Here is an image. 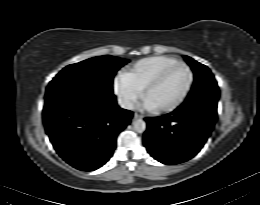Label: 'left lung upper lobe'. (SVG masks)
I'll return each instance as SVG.
<instances>
[{
    "label": "left lung upper lobe",
    "instance_id": "1",
    "mask_svg": "<svg viewBox=\"0 0 260 205\" xmlns=\"http://www.w3.org/2000/svg\"><path fill=\"white\" fill-rule=\"evenodd\" d=\"M194 72V84L185 102L178 108L203 107L217 113L219 90L207 66L188 56H183Z\"/></svg>",
    "mask_w": 260,
    "mask_h": 205
}]
</instances>
